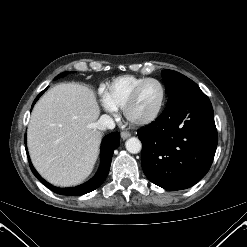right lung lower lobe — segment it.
I'll use <instances>...</instances> for the list:
<instances>
[{
  "label": "right lung lower lobe",
  "instance_id": "obj_1",
  "mask_svg": "<svg viewBox=\"0 0 247 247\" xmlns=\"http://www.w3.org/2000/svg\"><path fill=\"white\" fill-rule=\"evenodd\" d=\"M45 90H43L38 95V97L35 99L33 105L35 104V102L38 100V98L42 95V93ZM33 105H32V107H33ZM25 141H26V137H25ZM119 144H120V133L113 132V133L107 135L103 139L102 146H101V164H100L98 172L88 182H86L82 185H79L77 187H72V188H58V187H55V186L49 184L34 169V167L31 164V161L29 159V156H28V159H29L30 168H31L33 174L37 177V179L39 181H41L47 188H49L53 192L61 194V195H70V196L83 195V194H86V193H89V192L95 190L104 182L105 178L107 177V175L109 173L113 151H114V149H116L119 146ZM26 151H27V148H26Z\"/></svg>",
  "mask_w": 247,
  "mask_h": 247
}]
</instances>
